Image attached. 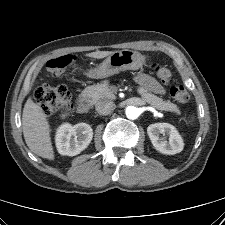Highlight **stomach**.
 <instances>
[{"label":"stomach","mask_w":225,"mask_h":225,"mask_svg":"<svg viewBox=\"0 0 225 225\" xmlns=\"http://www.w3.org/2000/svg\"><path fill=\"white\" fill-rule=\"evenodd\" d=\"M144 56L137 51L124 49L109 55L99 66L90 70L93 78H106L125 70H138L143 66Z\"/></svg>","instance_id":"1"}]
</instances>
